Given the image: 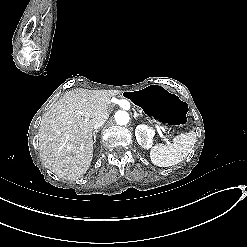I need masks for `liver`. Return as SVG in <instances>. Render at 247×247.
<instances>
[{"label": "liver", "instance_id": "1", "mask_svg": "<svg viewBox=\"0 0 247 247\" xmlns=\"http://www.w3.org/2000/svg\"><path fill=\"white\" fill-rule=\"evenodd\" d=\"M110 98L101 90L68 91L43 114L39 127V155L58 178L75 180L93 158V125L108 119Z\"/></svg>", "mask_w": 247, "mask_h": 247}]
</instances>
